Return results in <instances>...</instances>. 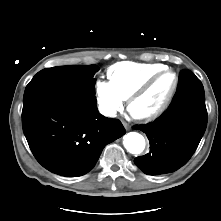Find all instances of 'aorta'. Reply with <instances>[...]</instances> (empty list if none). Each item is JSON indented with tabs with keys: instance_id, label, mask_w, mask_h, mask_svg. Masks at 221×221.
<instances>
[{
	"instance_id": "aorta-1",
	"label": "aorta",
	"mask_w": 221,
	"mask_h": 221,
	"mask_svg": "<svg viewBox=\"0 0 221 221\" xmlns=\"http://www.w3.org/2000/svg\"><path fill=\"white\" fill-rule=\"evenodd\" d=\"M123 144L129 153L140 154L145 148V139L137 132H129L123 137Z\"/></svg>"
}]
</instances>
